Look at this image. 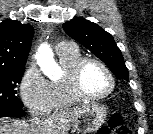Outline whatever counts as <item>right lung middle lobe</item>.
I'll return each instance as SVG.
<instances>
[{
    "mask_svg": "<svg viewBox=\"0 0 153 134\" xmlns=\"http://www.w3.org/2000/svg\"><path fill=\"white\" fill-rule=\"evenodd\" d=\"M25 68L0 69V107L23 108L16 87L21 82Z\"/></svg>",
    "mask_w": 153,
    "mask_h": 134,
    "instance_id": "obj_1",
    "label": "right lung middle lobe"
}]
</instances>
